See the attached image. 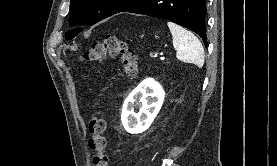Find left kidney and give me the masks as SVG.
<instances>
[{"instance_id": "obj_1", "label": "left kidney", "mask_w": 277, "mask_h": 166, "mask_svg": "<svg viewBox=\"0 0 277 166\" xmlns=\"http://www.w3.org/2000/svg\"><path fill=\"white\" fill-rule=\"evenodd\" d=\"M165 97L162 86L152 78L142 81L126 98L121 121L131 134L146 131L159 113ZM139 108L138 112L134 109Z\"/></svg>"}]
</instances>
